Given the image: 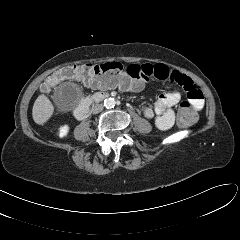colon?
<instances>
[{"instance_id":"obj_1","label":"colon","mask_w":240,"mask_h":240,"mask_svg":"<svg viewBox=\"0 0 240 240\" xmlns=\"http://www.w3.org/2000/svg\"><path fill=\"white\" fill-rule=\"evenodd\" d=\"M67 79H76L88 85L128 89L138 81V76L131 73L129 67H124L118 62L69 65L51 74L43 83L42 90L49 92L59 82ZM196 119L197 114L191 103L183 101L179 106L178 122L187 126L193 124Z\"/></svg>"}]
</instances>
